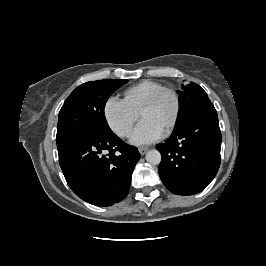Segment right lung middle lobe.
Listing matches in <instances>:
<instances>
[{"instance_id":"dd1d6c3e","label":"right lung middle lobe","mask_w":266,"mask_h":266,"mask_svg":"<svg viewBox=\"0 0 266 266\" xmlns=\"http://www.w3.org/2000/svg\"><path fill=\"white\" fill-rule=\"evenodd\" d=\"M127 80L106 79L86 82L68 96L58 117L57 149L110 131L104 108L108 98Z\"/></svg>"}]
</instances>
